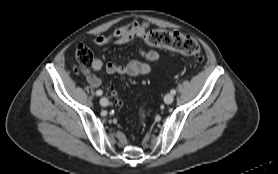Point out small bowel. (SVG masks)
I'll list each match as a JSON object with an SVG mask.
<instances>
[{"instance_id": "small-bowel-1", "label": "small bowel", "mask_w": 278, "mask_h": 174, "mask_svg": "<svg viewBox=\"0 0 278 174\" xmlns=\"http://www.w3.org/2000/svg\"><path fill=\"white\" fill-rule=\"evenodd\" d=\"M148 23L145 21H133L130 24L121 26L107 35H98L92 39V43L97 46H108L110 44L121 45L131 42L138 38L143 39L146 35ZM139 54L143 61L132 60L126 65L115 64L109 62L105 65V70L108 74L128 75L138 77L147 75L151 72L152 65L157 64L160 56L154 50L144 51L139 49ZM92 70L95 72L101 71L104 67L103 61L99 58L93 60ZM93 71L89 69H81L80 73L86 78L87 82L94 88L101 85V79Z\"/></svg>"}]
</instances>
